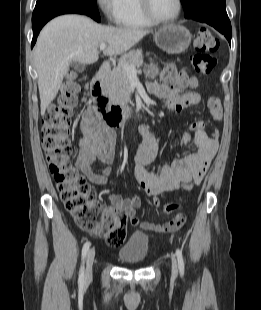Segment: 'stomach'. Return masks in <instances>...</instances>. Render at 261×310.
<instances>
[{
  "instance_id": "0dacf381",
  "label": "stomach",
  "mask_w": 261,
  "mask_h": 310,
  "mask_svg": "<svg viewBox=\"0 0 261 310\" xmlns=\"http://www.w3.org/2000/svg\"><path fill=\"white\" fill-rule=\"evenodd\" d=\"M191 38L187 28L175 24L163 26L154 36L156 45L171 54L183 53L189 47Z\"/></svg>"
}]
</instances>
